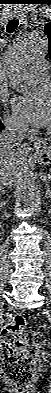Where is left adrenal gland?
I'll use <instances>...</instances> for the list:
<instances>
[{
    "label": "left adrenal gland",
    "mask_w": 51,
    "mask_h": 393,
    "mask_svg": "<svg viewBox=\"0 0 51 393\" xmlns=\"http://www.w3.org/2000/svg\"><path fill=\"white\" fill-rule=\"evenodd\" d=\"M46 197H49L50 195V186L49 184L46 182V193H45Z\"/></svg>",
    "instance_id": "a2214340"
}]
</instances>
